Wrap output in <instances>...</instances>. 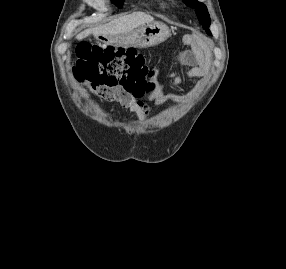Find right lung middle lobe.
<instances>
[{"mask_svg":"<svg viewBox=\"0 0 286 269\" xmlns=\"http://www.w3.org/2000/svg\"><path fill=\"white\" fill-rule=\"evenodd\" d=\"M113 2L116 3L118 7H122L124 0H113Z\"/></svg>","mask_w":286,"mask_h":269,"instance_id":"dd1d6c3e","label":"right lung middle lobe"}]
</instances>
